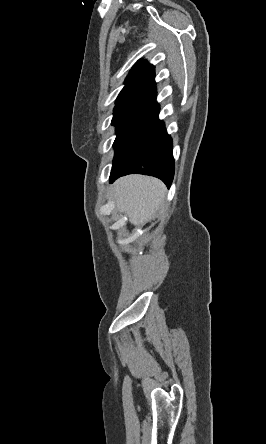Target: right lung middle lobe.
<instances>
[{"mask_svg": "<svg viewBox=\"0 0 266 444\" xmlns=\"http://www.w3.org/2000/svg\"><path fill=\"white\" fill-rule=\"evenodd\" d=\"M155 98L133 97L116 101L112 125L116 126L115 155L139 135L159 114Z\"/></svg>", "mask_w": 266, "mask_h": 444, "instance_id": "1", "label": "right lung middle lobe"}]
</instances>
